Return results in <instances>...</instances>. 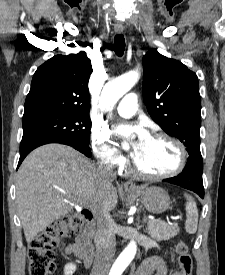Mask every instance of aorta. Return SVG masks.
I'll return each instance as SVG.
<instances>
[{"label": "aorta", "mask_w": 225, "mask_h": 275, "mask_svg": "<svg viewBox=\"0 0 225 275\" xmlns=\"http://www.w3.org/2000/svg\"><path fill=\"white\" fill-rule=\"evenodd\" d=\"M138 79L139 73L131 71L106 83L99 100L100 109L111 111L119 99L136 84ZM136 251L137 244L132 240L113 264L110 275H121L135 257Z\"/></svg>", "instance_id": "aorta-1"}]
</instances>
